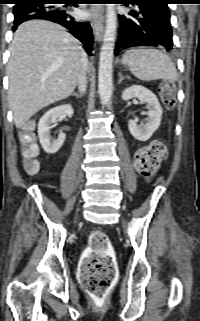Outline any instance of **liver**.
I'll list each match as a JSON object with an SVG mask.
<instances>
[{
  "label": "liver",
  "instance_id": "liver-1",
  "mask_svg": "<svg viewBox=\"0 0 200 321\" xmlns=\"http://www.w3.org/2000/svg\"><path fill=\"white\" fill-rule=\"evenodd\" d=\"M10 52L8 101L21 128L36 112L72 94L83 49L60 25L31 20L16 30Z\"/></svg>",
  "mask_w": 200,
  "mask_h": 321
}]
</instances>
